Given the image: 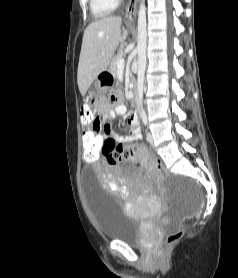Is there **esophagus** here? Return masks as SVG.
<instances>
[{
	"instance_id": "esophagus-1",
	"label": "esophagus",
	"mask_w": 238,
	"mask_h": 278,
	"mask_svg": "<svg viewBox=\"0 0 238 278\" xmlns=\"http://www.w3.org/2000/svg\"><path fill=\"white\" fill-rule=\"evenodd\" d=\"M138 1L139 0H129L126 8V18L129 21H133L135 19Z\"/></svg>"
}]
</instances>
